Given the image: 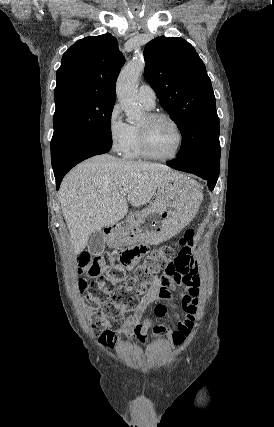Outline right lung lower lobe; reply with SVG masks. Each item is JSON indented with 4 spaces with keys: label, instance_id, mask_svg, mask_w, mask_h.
I'll list each match as a JSON object with an SVG mask.
<instances>
[{
    "label": "right lung lower lobe",
    "instance_id": "1",
    "mask_svg": "<svg viewBox=\"0 0 274 427\" xmlns=\"http://www.w3.org/2000/svg\"><path fill=\"white\" fill-rule=\"evenodd\" d=\"M112 147L111 141L95 140L81 145L66 155L56 165H53L57 190L65 174L79 162L94 155L104 154Z\"/></svg>",
    "mask_w": 274,
    "mask_h": 427
}]
</instances>
